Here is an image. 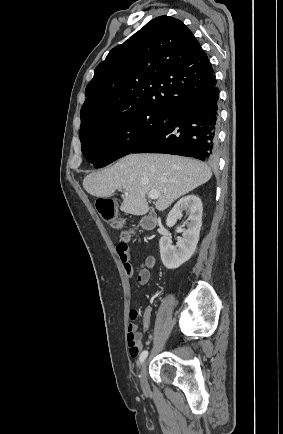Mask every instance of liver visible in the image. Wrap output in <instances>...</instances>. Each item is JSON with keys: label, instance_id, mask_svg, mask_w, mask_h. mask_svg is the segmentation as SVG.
Masks as SVG:
<instances>
[{"label": "liver", "instance_id": "liver-1", "mask_svg": "<svg viewBox=\"0 0 283 434\" xmlns=\"http://www.w3.org/2000/svg\"><path fill=\"white\" fill-rule=\"evenodd\" d=\"M211 176V169L198 160L168 154H129L107 169L88 174L83 187L100 198L123 190L120 210L144 215L149 210L146 194L150 191L160 193L155 207L164 211L176 199L208 182Z\"/></svg>", "mask_w": 283, "mask_h": 434}]
</instances>
